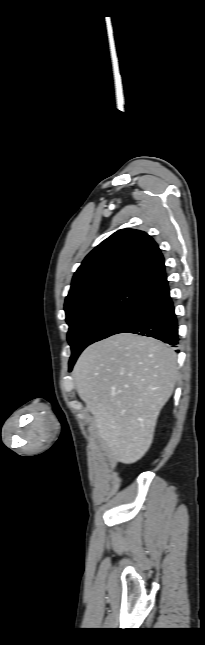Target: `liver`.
Here are the masks:
<instances>
[{
	"instance_id": "1",
	"label": "liver",
	"mask_w": 205,
	"mask_h": 645,
	"mask_svg": "<svg viewBox=\"0 0 205 645\" xmlns=\"http://www.w3.org/2000/svg\"><path fill=\"white\" fill-rule=\"evenodd\" d=\"M73 378L109 454L132 464L149 450L158 415L172 395L177 354L159 340L121 333L88 346Z\"/></svg>"
}]
</instances>
